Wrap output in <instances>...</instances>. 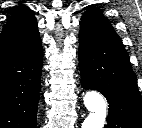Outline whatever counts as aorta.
I'll list each match as a JSON object with an SVG mask.
<instances>
[{
  "instance_id": "762f6f07",
  "label": "aorta",
  "mask_w": 142,
  "mask_h": 128,
  "mask_svg": "<svg viewBox=\"0 0 142 128\" xmlns=\"http://www.w3.org/2000/svg\"><path fill=\"white\" fill-rule=\"evenodd\" d=\"M83 100L90 113L82 123V128H103L107 113L103 96L97 91H88Z\"/></svg>"
}]
</instances>
